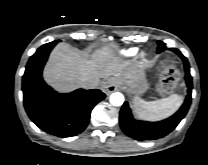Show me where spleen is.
Returning <instances> with one entry per match:
<instances>
[{"label": "spleen", "mask_w": 208, "mask_h": 165, "mask_svg": "<svg viewBox=\"0 0 208 165\" xmlns=\"http://www.w3.org/2000/svg\"><path fill=\"white\" fill-rule=\"evenodd\" d=\"M183 98L178 94L155 101H145L134 97V111L140 119L159 121L173 115L182 105Z\"/></svg>", "instance_id": "3e777b00"}]
</instances>
